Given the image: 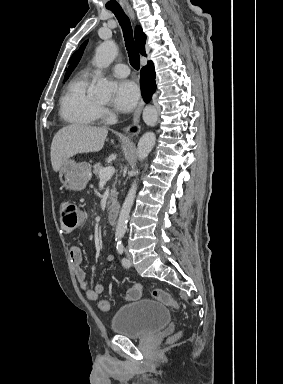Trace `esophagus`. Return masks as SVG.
I'll return each instance as SVG.
<instances>
[{
  "label": "esophagus",
  "instance_id": "34e87169",
  "mask_svg": "<svg viewBox=\"0 0 283 384\" xmlns=\"http://www.w3.org/2000/svg\"><path fill=\"white\" fill-rule=\"evenodd\" d=\"M126 9L129 13L131 19L134 20L135 16H134V12H133L132 8L130 6H126ZM143 106H144V100L141 99L137 105V108L135 109L134 114H133L132 124L128 127H125L123 130L124 132H128L131 126H134L138 123L142 109H143Z\"/></svg>",
  "mask_w": 283,
  "mask_h": 384
}]
</instances>
